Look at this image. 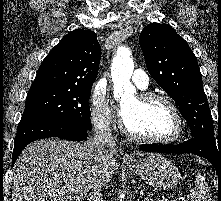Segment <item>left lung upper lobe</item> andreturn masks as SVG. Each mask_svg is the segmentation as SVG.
<instances>
[{
    "label": "left lung upper lobe",
    "mask_w": 221,
    "mask_h": 201,
    "mask_svg": "<svg viewBox=\"0 0 221 201\" xmlns=\"http://www.w3.org/2000/svg\"><path fill=\"white\" fill-rule=\"evenodd\" d=\"M139 43L150 75L179 107L190 137L200 136L216 145L200 69L187 42L170 25L150 23Z\"/></svg>",
    "instance_id": "1"
}]
</instances>
